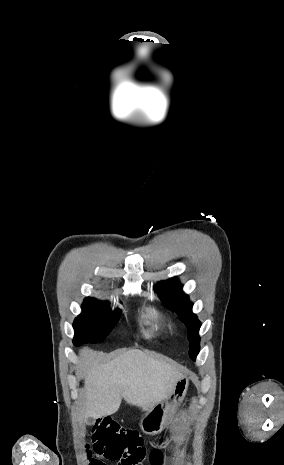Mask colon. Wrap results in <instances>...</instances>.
<instances>
[{
	"label": "colon",
	"mask_w": 284,
	"mask_h": 465,
	"mask_svg": "<svg viewBox=\"0 0 284 465\" xmlns=\"http://www.w3.org/2000/svg\"><path fill=\"white\" fill-rule=\"evenodd\" d=\"M83 445L88 450L86 456L89 465H103L101 460L91 457L93 452L107 460H121V465H138L146 457L145 441L139 432L122 428L115 421H109L94 430L90 436L84 438ZM176 452L181 454L183 449L178 447ZM163 453L162 446H152L151 454L155 457L151 462L161 465L158 459L163 457Z\"/></svg>",
	"instance_id": "1"
}]
</instances>
